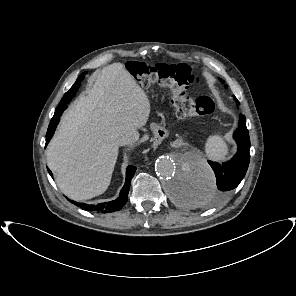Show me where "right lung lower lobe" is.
<instances>
[{"label": "right lung lower lobe", "mask_w": 296, "mask_h": 296, "mask_svg": "<svg viewBox=\"0 0 296 296\" xmlns=\"http://www.w3.org/2000/svg\"><path fill=\"white\" fill-rule=\"evenodd\" d=\"M83 78H84V74H81L78 77V79L76 80V82L74 83V85L70 88V90L65 93V95L61 99L59 105L55 109L54 116L52 117V119L50 121L48 130L46 133V145L50 141L51 137L54 134V131H55L56 126L59 122L62 112L67 108V103H69L71 101V98L77 92V90L80 86V82ZM48 171H49V174L52 176L51 171L49 169H48ZM135 171H136V167H134L132 165L127 167L125 184H124L123 188L121 189L119 197L113 201L104 202V203H100L97 205H88L85 203H77V202L70 200V199H68V200L71 203L78 205L80 208L87 210V211H91V212L109 213V212L118 211L127 202L131 180H132V177L134 176Z\"/></svg>", "instance_id": "obj_1"}]
</instances>
